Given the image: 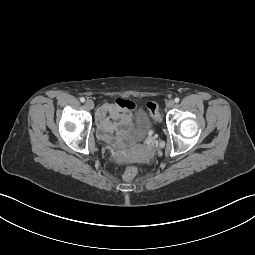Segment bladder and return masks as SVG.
<instances>
[{
    "label": "bladder",
    "mask_w": 255,
    "mask_h": 255,
    "mask_svg": "<svg viewBox=\"0 0 255 255\" xmlns=\"http://www.w3.org/2000/svg\"><path fill=\"white\" fill-rule=\"evenodd\" d=\"M153 127L152 120L144 109L137 110L133 125L128 132V138L132 141L143 138Z\"/></svg>",
    "instance_id": "obj_1"
}]
</instances>
